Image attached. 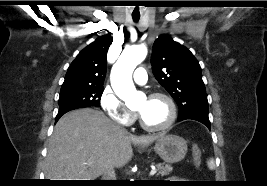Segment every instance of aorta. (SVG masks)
Returning <instances> with one entry per match:
<instances>
[{
    "mask_svg": "<svg viewBox=\"0 0 267 186\" xmlns=\"http://www.w3.org/2000/svg\"><path fill=\"white\" fill-rule=\"evenodd\" d=\"M147 56L143 45L125 49L111 70V85L116 95L127 105L137 103L140 94L132 81V73Z\"/></svg>",
    "mask_w": 267,
    "mask_h": 186,
    "instance_id": "obj_1",
    "label": "aorta"
}]
</instances>
